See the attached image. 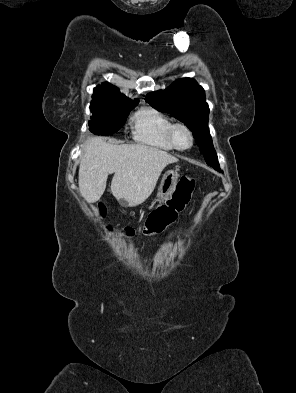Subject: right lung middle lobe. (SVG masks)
I'll return each instance as SVG.
<instances>
[{
  "label": "right lung middle lobe",
  "instance_id": "1",
  "mask_svg": "<svg viewBox=\"0 0 296 393\" xmlns=\"http://www.w3.org/2000/svg\"><path fill=\"white\" fill-rule=\"evenodd\" d=\"M139 101H106L91 103L92 118L89 130L96 135H110L117 132L125 123L130 111Z\"/></svg>",
  "mask_w": 296,
  "mask_h": 393
}]
</instances>
